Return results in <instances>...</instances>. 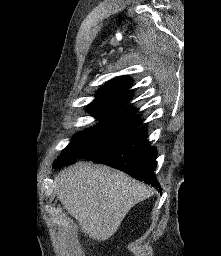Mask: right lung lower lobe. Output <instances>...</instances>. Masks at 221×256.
Instances as JSON below:
<instances>
[{
	"label": "right lung lower lobe",
	"instance_id": "1",
	"mask_svg": "<svg viewBox=\"0 0 221 256\" xmlns=\"http://www.w3.org/2000/svg\"><path fill=\"white\" fill-rule=\"evenodd\" d=\"M156 154L155 148L147 145V129L137 127L97 148L84 159L120 169L161 191L154 174Z\"/></svg>",
	"mask_w": 221,
	"mask_h": 256
}]
</instances>
